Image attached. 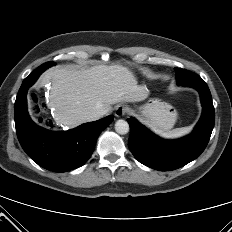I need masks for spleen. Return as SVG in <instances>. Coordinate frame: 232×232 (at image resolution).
Instances as JSON below:
<instances>
[{"label": "spleen", "instance_id": "3e777b00", "mask_svg": "<svg viewBox=\"0 0 232 232\" xmlns=\"http://www.w3.org/2000/svg\"><path fill=\"white\" fill-rule=\"evenodd\" d=\"M190 131H191V127L189 126L181 127V128H176V129L164 132L161 134V136L167 139H177V138H180V137H183L189 134Z\"/></svg>", "mask_w": 232, "mask_h": 232}]
</instances>
